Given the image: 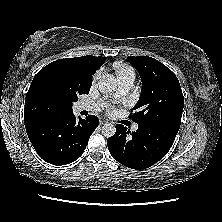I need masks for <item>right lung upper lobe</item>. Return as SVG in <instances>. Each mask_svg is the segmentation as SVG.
Masks as SVG:
<instances>
[{"label":"right lung upper lobe","instance_id":"1","mask_svg":"<svg viewBox=\"0 0 222 222\" xmlns=\"http://www.w3.org/2000/svg\"><path fill=\"white\" fill-rule=\"evenodd\" d=\"M106 57L82 56L56 60L34 77L25 98L26 129L54 116L73 112L72 102L87 94L92 76Z\"/></svg>","mask_w":222,"mask_h":222}]
</instances>
